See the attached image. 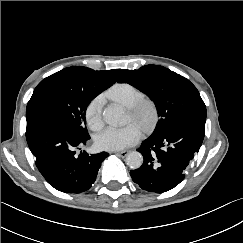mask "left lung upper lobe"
Returning a JSON list of instances; mask_svg holds the SVG:
<instances>
[{
  "label": "left lung upper lobe",
  "instance_id": "1",
  "mask_svg": "<svg viewBox=\"0 0 243 243\" xmlns=\"http://www.w3.org/2000/svg\"><path fill=\"white\" fill-rule=\"evenodd\" d=\"M118 82L136 87L154 101L159 120L151 139L162 136L181 115L206 109L198 90L188 79L160 65L124 70Z\"/></svg>",
  "mask_w": 243,
  "mask_h": 243
}]
</instances>
